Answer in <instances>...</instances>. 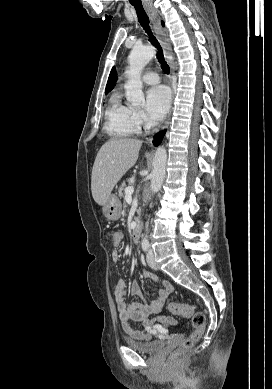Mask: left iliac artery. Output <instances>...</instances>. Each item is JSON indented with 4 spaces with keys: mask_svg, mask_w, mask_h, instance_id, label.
I'll use <instances>...</instances> for the list:
<instances>
[{
    "mask_svg": "<svg viewBox=\"0 0 272 389\" xmlns=\"http://www.w3.org/2000/svg\"><path fill=\"white\" fill-rule=\"evenodd\" d=\"M149 247H150L149 241H148L147 239H144V240L142 241V249H143L144 251H147V250L149 249Z\"/></svg>",
    "mask_w": 272,
    "mask_h": 389,
    "instance_id": "left-iliac-artery-1",
    "label": "left iliac artery"
}]
</instances>
